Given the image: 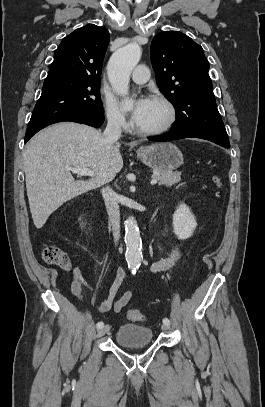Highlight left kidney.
<instances>
[{"label": "left kidney", "instance_id": "1", "mask_svg": "<svg viewBox=\"0 0 265 407\" xmlns=\"http://www.w3.org/2000/svg\"><path fill=\"white\" fill-rule=\"evenodd\" d=\"M197 226L194 215L189 207L180 204L173 214V232L181 240H186L193 235Z\"/></svg>", "mask_w": 265, "mask_h": 407}]
</instances>
